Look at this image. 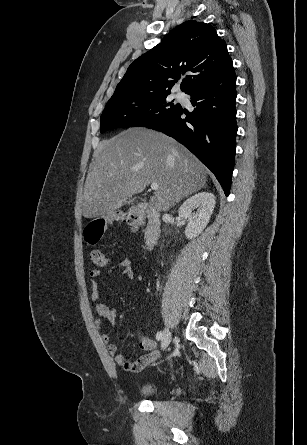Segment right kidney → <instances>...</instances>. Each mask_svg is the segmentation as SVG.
<instances>
[{
    "label": "right kidney",
    "instance_id": "obj_1",
    "mask_svg": "<svg viewBox=\"0 0 307 445\" xmlns=\"http://www.w3.org/2000/svg\"><path fill=\"white\" fill-rule=\"evenodd\" d=\"M215 204L213 192H197L183 202L179 208V216L188 220L185 229L187 239L198 237L206 229ZM193 208H196V212H192Z\"/></svg>",
    "mask_w": 307,
    "mask_h": 445
}]
</instances>
